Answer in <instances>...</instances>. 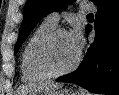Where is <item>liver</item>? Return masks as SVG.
Segmentation results:
<instances>
[{
    "mask_svg": "<svg viewBox=\"0 0 119 95\" xmlns=\"http://www.w3.org/2000/svg\"><path fill=\"white\" fill-rule=\"evenodd\" d=\"M61 87H62V84H55L52 82H41L38 84H34L33 86L23 87L19 94H22V95H27L28 93L29 94H35L37 92L57 90Z\"/></svg>",
    "mask_w": 119,
    "mask_h": 95,
    "instance_id": "1",
    "label": "liver"
}]
</instances>
